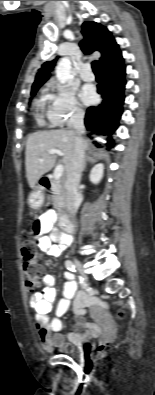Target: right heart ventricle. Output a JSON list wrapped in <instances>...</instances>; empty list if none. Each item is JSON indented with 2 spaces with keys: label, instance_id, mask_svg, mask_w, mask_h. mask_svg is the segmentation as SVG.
<instances>
[{
  "label": "right heart ventricle",
  "instance_id": "e07e8e85",
  "mask_svg": "<svg viewBox=\"0 0 155 395\" xmlns=\"http://www.w3.org/2000/svg\"><path fill=\"white\" fill-rule=\"evenodd\" d=\"M46 101H47V95H42L37 102V108L41 112L37 115V121L39 124L45 123L42 112L44 111Z\"/></svg>",
  "mask_w": 155,
  "mask_h": 395
}]
</instances>
